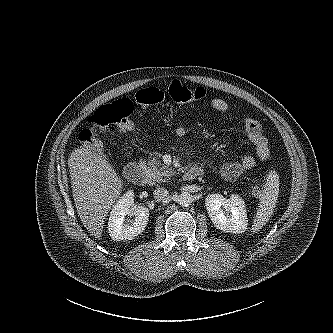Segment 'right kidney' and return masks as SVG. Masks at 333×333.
Returning a JSON list of instances; mask_svg holds the SVG:
<instances>
[{"mask_svg":"<svg viewBox=\"0 0 333 333\" xmlns=\"http://www.w3.org/2000/svg\"><path fill=\"white\" fill-rule=\"evenodd\" d=\"M133 197V191H127L110 212L108 231L114 241L132 240L141 234L147 225L149 210L143 206L134 207ZM126 215L135 216L133 224L124 223Z\"/></svg>","mask_w":333,"mask_h":333,"instance_id":"obj_1","label":"right kidney"}]
</instances>
